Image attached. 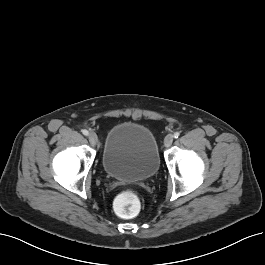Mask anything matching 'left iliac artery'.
<instances>
[{
  "label": "left iliac artery",
  "instance_id": "44dca946",
  "mask_svg": "<svg viewBox=\"0 0 265 265\" xmlns=\"http://www.w3.org/2000/svg\"><path fill=\"white\" fill-rule=\"evenodd\" d=\"M180 136V132H175L174 133V138H178Z\"/></svg>",
  "mask_w": 265,
  "mask_h": 265
}]
</instances>
